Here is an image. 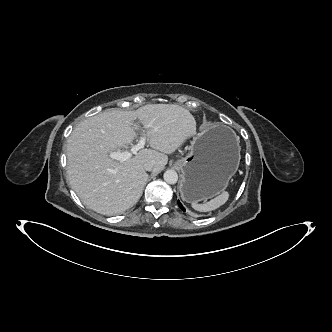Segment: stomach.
<instances>
[{
	"instance_id": "stomach-1",
	"label": "stomach",
	"mask_w": 332,
	"mask_h": 332,
	"mask_svg": "<svg viewBox=\"0 0 332 332\" xmlns=\"http://www.w3.org/2000/svg\"><path fill=\"white\" fill-rule=\"evenodd\" d=\"M240 151L238 137L226 126L207 129L196 136L189 154L176 161L182 171V199L197 203L225 192L238 169Z\"/></svg>"
}]
</instances>
